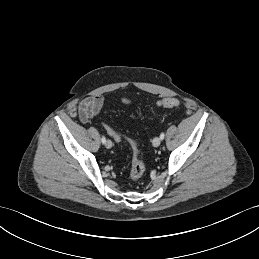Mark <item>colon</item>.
<instances>
[{
    "mask_svg": "<svg viewBox=\"0 0 259 259\" xmlns=\"http://www.w3.org/2000/svg\"><path fill=\"white\" fill-rule=\"evenodd\" d=\"M158 106L160 107H165V108H176L180 105V102L176 98H165L157 103ZM106 130L111 135L116 141H122L129 143L133 146L134 149V156L131 161V167L129 171V178L132 181H136L139 178H141L145 172V164L141 159V151L139 148V143L134 140L125 137L122 135L119 131H117L115 128H113L111 125L106 124Z\"/></svg>",
    "mask_w": 259,
    "mask_h": 259,
    "instance_id": "colon-1",
    "label": "colon"
}]
</instances>
